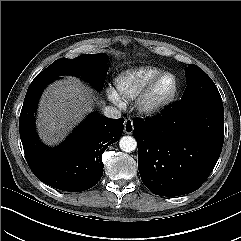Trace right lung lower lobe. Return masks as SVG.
Masks as SVG:
<instances>
[{
	"label": "right lung lower lobe",
	"instance_id": "obj_1",
	"mask_svg": "<svg viewBox=\"0 0 241 241\" xmlns=\"http://www.w3.org/2000/svg\"><path fill=\"white\" fill-rule=\"evenodd\" d=\"M51 81L32 82L27 90L19 119L25 157L40 181L62 191H84L101 179L102 154L121 137L124 119L92 113L58 147L43 145L35 131V112L41 92Z\"/></svg>",
	"mask_w": 241,
	"mask_h": 241
}]
</instances>
